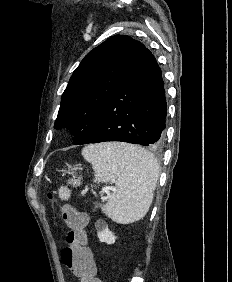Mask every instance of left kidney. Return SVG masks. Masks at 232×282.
Segmentation results:
<instances>
[{"label": "left kidney", "instance_id": "left-kidney-1", "mask_svg": "<svg viewBox=\"0 0 232 282\" xmlns=\"http://www.w3.org/2000/svg\"><path fill=\"white\" fill-rule=\"evenodd\" d=\"M96 228L98 230L97 236L101 242H106L107 244H113L115 242L116 237L108 229L106 224L103 222H97Z\"/></svg>", "mask_w": 232, "mask_h": 282}]
</instances>
